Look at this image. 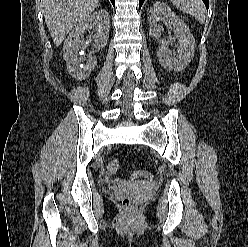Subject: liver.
<instances>
[{
	"instance_id": "1",
	"label": "liver",
	"mask_w": 248,
	"mask_h": 247,
	"mask_svg": "<svg viewBox=\"0 0 248 247\" xmlns=\"http://www.w3.org/2000/svg\"><path fill=\"white\" fill-rule=\"evenodd\" d=\"M99 0H43L45 22L55 46L61 45L69 31L94 11Z\"/></svg>"
}]
</instances>
